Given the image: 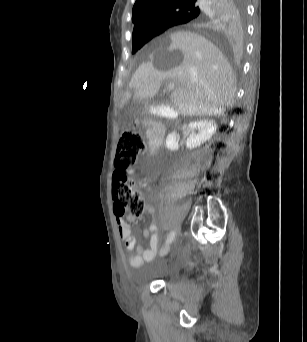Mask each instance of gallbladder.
Returning a JSON list of instances; mask_svg holds the SVG:
<instances>
[{
  "instance_id": "bac80fb5",
  "label": "gallbladder",
  "mask_w": 307,
  "mask_h": 342,
  "mask_svg": "<svg viewBox=\"0 0 307 342\" xmlns=\"http://www.w3.org/2000/svg\"><path fill=\"white\" fill-rule=\"evenodd\" d=\"M152 98L149 95H136L134 97V100L136 102H145L146 104H144L142 107L144 109H149V108H153L154 104L156 103L154 100H151ZM155 108L157 110H159V116L163 117L165 116V118H172V116L174 115L175 117L178 115L176 112L178 111L176 108L173 109V107H171L170 103H157L155 105ZM173 112H175L173 114Z\"/></svg>"
}]
</instances>
